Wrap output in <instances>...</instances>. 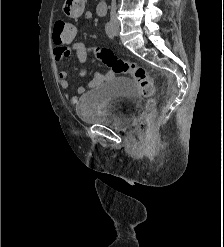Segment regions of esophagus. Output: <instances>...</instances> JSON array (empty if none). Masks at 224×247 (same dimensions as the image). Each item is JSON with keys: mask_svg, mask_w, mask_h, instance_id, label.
<instances>
[{"mask_svg": "<svg viewBox=\"0 0 224 247\" xmlns=\"http://www.w3.org/2000/svg\"><path fill=\"white\" fill-rule=\"evenodd\" d=\"M131 66H132V64L130 63V64H129V70H130Z\"/></svg>", "mask_w": 224, "mask_h": 247, "instance_id": "esophagus-1", "label": "esophagus"}]
</instances>
